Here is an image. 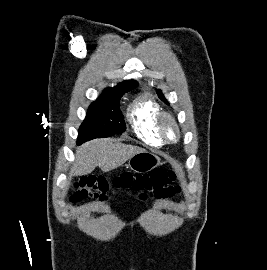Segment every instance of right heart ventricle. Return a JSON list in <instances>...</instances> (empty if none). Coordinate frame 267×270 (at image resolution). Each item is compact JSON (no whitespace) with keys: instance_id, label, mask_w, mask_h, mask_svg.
Listing matches in <instances>:
<instances>
[{"instance_id":"1","label":"right heart ventricle","mask_w":267,"mask_h":270,"mask_svg":"<svg viewBox=\"0 0 267 270\" xmlns=\"http://www.w3.org/2000/svg\"><path fill=\"white\" fill-rule=\"evenodd\" d=\"M161 111L160 104L149 94L137 96L127 110V118L132 132L143 142L153 147H159L163 144L156 128V119Z\"/></svg>"}]
</instances>
